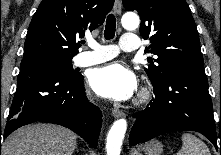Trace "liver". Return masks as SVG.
Listing matches in <instances>:
<instances>
[{"label":"liver","mask_w":221,"mask_h":155,"mask_svg":"<svg viewBox=\"0 0 221 155\" xmlns=\"http://www.w3.org/2000/svg\"><path fill=\"white\" fill-rule=\"evenodd\" d=\"M77 135L53 124L37 123L19 128L8 136L2 155H72Z\"/></svg>","instance_id":"obj_1"}]
</instances>
